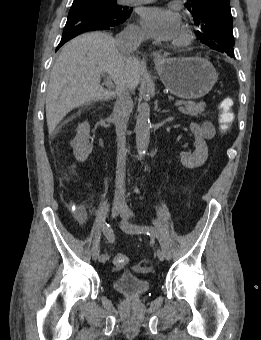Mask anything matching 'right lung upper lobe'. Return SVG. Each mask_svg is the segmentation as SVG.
Wrapping results in <instances>:
<instances>
[{
  "instance_id": "cb5924a9",
  "label": "right lung upper lobe",
  "mask_w": 261,
  "mask_h": 340,
  "mask_svg": "<svg viewBox=\"0 0 261 340\" xmlns=\"http://www.w3.org/2000/svg\"><path fill=\"white\" fill-rule=\"evenodd\" d=\"M84 1H91V0H74L73 3L84 2Z\"/></svg>"
}]
</instances>
